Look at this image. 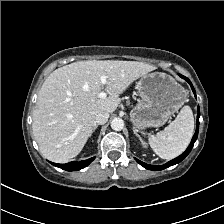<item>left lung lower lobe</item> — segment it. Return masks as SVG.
<instances>
[{"mask_svg": "<svg viewBox=\"0 0 224 224\" xmlns=\"http://www.w3.org/2000/svg\"><path fill=\"white\" fill-rule=\"evenodd\" d=\"M180 76H181L183 79H185V80L191 85V88H192L194 94H196V92H195V90H194V87H193V85L191 84L190 80H189L188 78L182 76V75H180ZM199 116H200V110H199V107H198L197 127H196L195 134H194V136H193V138H192V141H191L189 147H188V148L186 149V151H185L183 154H181L179 157H177V158H175V159L169 161L168 163H166V164H164V165H162V166L149 165V164L143 163L142 161H140V160H138V159H136V161H137L141 166L145 167L146 169H149V170H155V171L163 170V169H165V168H167V167H170V166H172V165H175V164L181 162V161H182V160H183V159L190 153V151H191V149L193 148V145H194V143H195V141H196V139H197V136H198V130H199Z\"/></svg>", "mask_w": 224, "mask_h": 224, "instance_id": "1", "label": "left lung lower lobe"}]
</instances>
